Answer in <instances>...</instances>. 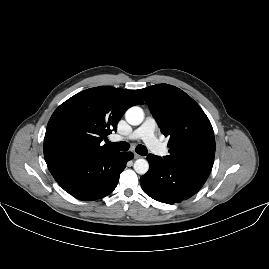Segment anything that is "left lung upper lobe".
I'll return each mask as SVG.
<instances>
[{
	"instance_id": "obj_1",
	"label": "left lung upper lobe",
	"mask_w": 269,
	"mask_h": 269,
	"mask_svg": "<svg viewBox=\"0 0 269 269\" xmlns=\"http://www.w3.org/2000/svg\"><path fill=\"white\" fill-rule=\"evenodd\" d=\"M163 134L170 137L165 161L210 174L215 156L211 123L200 106L179 88L158 84L137 90Z\"/></svg>"
}]
</instances>
